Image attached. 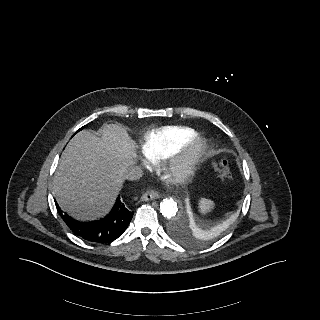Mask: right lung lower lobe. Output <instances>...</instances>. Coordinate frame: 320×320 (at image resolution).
<instances>
[{
	"instance_id": "obj_1",
	"label": "right lung lower lobe",
	"mask_w": 320,
	"mask_h": 320,
	"mask_svg": "<svg viewBox=\"0 0 320 320\" xmlns=\"http://www.w3.org/2000/svg\"><path fill=\"white\" fill-rule=\"evenodd\" d=\"M56 206L58 207L57 203ZM58 212L74 234L86 241L96 243H109L121 236L134 214L124 206L120 198H117L110 214L98 221L78 222L66 213L64 214L60 208Z\"/></svg>"
}]
</instances>
